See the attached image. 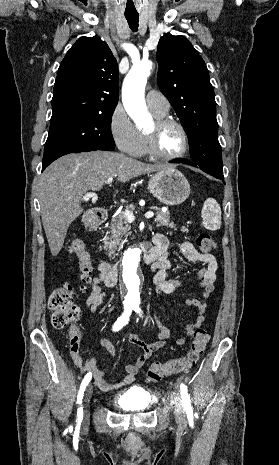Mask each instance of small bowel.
Returning a JSON list of instances; mask_svg holds the SVG:
<instances>
[{"mask_svg":"<svg viewBox=\"0 0 279 465\" xmlns=\"http://www.w3.org/2000/svg\"><path fill=\"white\" fill-rule=\"evenodd\" d=\"M153 245L158 250L159 255L152 263L151 269L154 272V283L159 293L171 294L176 292L181 286L179 281L169 278V273L174 268L169 258L172 248H178L182 256L188 261L199 263L203 266L198 273V283L203 290V299L188 298L186 300L187 306L195 308L198 312V316L194 322L185 326V335L179 337L176 341L178 345H184L187 342V338L193 335L195 330L200 328L204 323L205 318L203 313L207 308L206 299L210 297L214 290L218 264L216 258L212 254L197 251L194 245L189 241L171 243L164 235L157 233L153 237ZM109 267V263L101 260L98 264L100 275L93 278L90 282L91 292L86 300V305L93 313H95L104 302L105 292L102 289V283H105V276ZM170 332L171 330L169 327L163 325L155 318V334L158 337V341L146 343L140 338L139 334L127 333L126 337L128 342L139 347L141 353L134 363L125 367V376L116 382H108L105 379L104 372L97 366L96 357H90L84 361L80 355L73 353V359L82 372L93 374L95 384L100 390L104 392H113L125 388L134 382L135 376L149 361L153 353L169 343ZM100 344L111 357L115 356L114 346L108 337H100Z\"/></svg>","mask_w":279,"mask_h":465,"instance_id":"c3829d8e","label":"small bowel"}]
</instances>
